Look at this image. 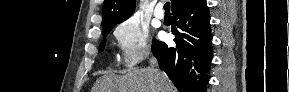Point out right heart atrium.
Listing matches in <instances>:
<instances>
[{
    "label": "right heart atrium",
    "mask_w": 289,
    "mask_h": 92,
    "mask_svg": "<svg viewBox=\"0 0 289 92\" xmlns=\"http://www.w3.org/2000/svg\"><path fill=\"white\" fill-rule=\"evenodd\" d=\"M114 37L126 67H134L150 54L147 27L136 18H127L114 29Z\"/></svg>",
    "instance_id": "d8ad5b80"
}]
</instances>
